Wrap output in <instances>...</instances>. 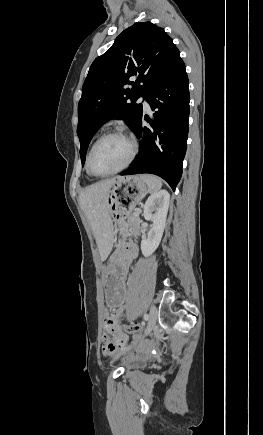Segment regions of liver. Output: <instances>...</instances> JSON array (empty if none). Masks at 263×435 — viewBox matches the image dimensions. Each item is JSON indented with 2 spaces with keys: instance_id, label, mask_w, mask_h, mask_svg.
Masks as SVG:
<instances>
[{
  "instance_id": "liver-1",
  "label": "liver",
  "mask_w": 263,
  "mask_h": 435,
  "mask_svg": "<svg viewBox=\"0 0 263 435\" xmlns=\"http://www.w3.org/2000/svg\"><path fill=\"white\" fill-rule=\"evenodd\" d=\"M123 177L111 178L87 187L79 196V204L95 235L101 261H105L113 247V223L107 196L111 186Z\"/></svg>"
}]
</instances>
